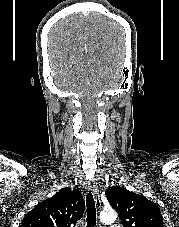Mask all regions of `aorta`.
<instances>
[{
  "instance_id": "obj_1",
  "label": "aorta",
  "mask_w": 179,
  "mask_h": 227,
  "mask_svg": "<svg viewBox=\"0 0 179 227\" xmlns=\"http://www.w3.org/2000/svg\"><path fill=\"white\" fill-rule=\"evenodd\" d=\"M100 221L104 224H110V223H113L116 218H117V214L116 212L113 210V209H106V210H103L101 213H100Z\"/></svg>"
}]
</instances>
